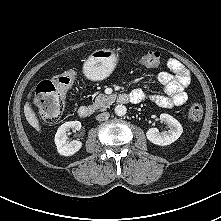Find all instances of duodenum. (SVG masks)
I'll list each match as a JSON object with an SVG mask.
<instances>
[{
    "instance_id": "1",
    "label": "duodenum",
    "mask_w": 221,
    "mask_h": 221,
    "mask_svg": "<svg viewBox=\"0 0 221 221\" xmlns=\"http://www.w3.org/2000/svg\"><path fill=\"white\" fill-rule=\"evenodd\" d=\"M130 101L136 102V99L134 97L130 96L129 94H126V93H122L117 97V102L120 103V104H126ZM92 112H93V107L88 106V105L81 106L78 109V115L82 119H87L88 117H90Z\"/></svg>"
}]
</instances>
